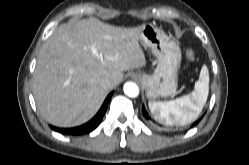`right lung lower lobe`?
I'll list each match as a JSON object with an SVG mask.
<instances>
[{"label":"right lung lower lobe","instance_id":"1","mask_svg":"<svg viewBox=\"0 0 249 165\" xmlns=\"http://www.w3.org/2000/svg\"><path fill=\"white\" fill-rule=\"evenodd\" d=\"M111 96H112V93L107 96V98L105 99L103 105L101 106L100 110L95 115V117L91 119L89 122H87L86 124L79 126V127H74V128H57V127L52 126V129H54L55 131L59 133L66 134V135H81V134L91 132L101 123L103 116L107 110V106H108Z\"/></svg>","mask_w":249,"mask_h":165}]
</instances>
